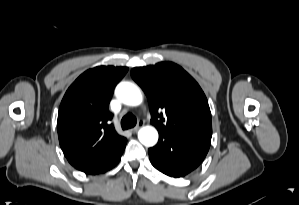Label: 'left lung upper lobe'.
I'll return each instance as SVG.
<instances>
[{
  "instance_id": "5c2ea615",
  "label": "left lung upper lobe",
  "mask_w": 299,
  "mask_h": 205,
  "mask_svg": "<svg viewBox=\"0 0 299 205\" xmlns=\"http://www.w3.org/2000/svg\"><path fill=\"white\" fill-rule=\"evenodd\" d=\"M131 76L148 98L151 123L159 135L177 134L211 140V113L206 96L180 66L161 62L136 67Z\"/></svg>"
}]
</instances>
